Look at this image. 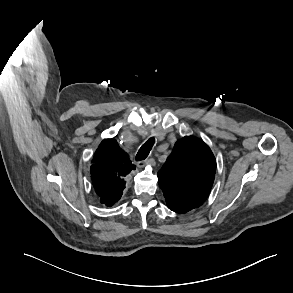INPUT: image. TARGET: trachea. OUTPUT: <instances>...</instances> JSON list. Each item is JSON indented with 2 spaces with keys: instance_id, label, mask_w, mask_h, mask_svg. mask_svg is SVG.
<instances>
[{
  "instance_id": "obj_1",
  "label": "trachea",
  "mask_w": 293,
  "mask_h": 293,
  "mask_svg": "<svg viewBox=\"0 0 293 293\" xmlns=\"http://www.w3.org/2000/svg\"><path fill=\"white\" fill-rule=\"evenodd\" d=\"M154 143H155V139L152 137L145 144H143L136 155V161H141L146 159Z\"/></svg>"
}]
</instances>
